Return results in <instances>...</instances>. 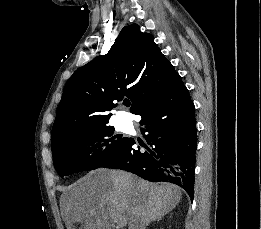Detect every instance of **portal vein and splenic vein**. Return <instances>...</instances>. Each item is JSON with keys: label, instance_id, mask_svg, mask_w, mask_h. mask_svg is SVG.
Wrapping results in <instances>:
<instances>
[{"label": "portal vein and splenic vein", "instance_id": "obj_1", "mask_svg": "<svg viewBox=\"0 0 261 229\" xmlns=\"http://www.w3.org/2000/svg\"><path fill=\"white\" fill-rule=\"evenodd\" d=\"M125 219H119V221H117V227L116 229H122V227H125Z\"/></svg>", "mask_w": 261, "mask_h": 229}]
</instances>
